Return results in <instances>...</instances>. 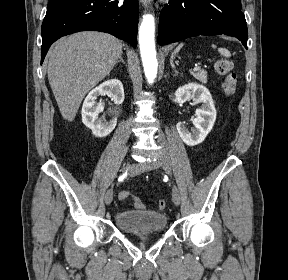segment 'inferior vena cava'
I'll list each match as a JSON object with an SVG mask.
<instances>
[{
  "label": "inferior vena cava",
  "instance_id": "602c4592",
  "mask_svg": "<svg viewBox=\"0 0 288 280\" xmlns=\"http://www.w3.org/2000/svg\"><path fill=\"white\" fill-rule=\"evenodd\" d=\"M155 143H159L161 150H158L159 159H170V154L168 153V142H166L165 134L161 132V125H155Z\"/></svg>",
  "mask_w": 288,
  "mask_h": 280
}]
</instances>
